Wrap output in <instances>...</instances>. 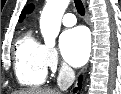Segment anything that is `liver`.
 <instances>
[{
	"label": "liver",
	"mask_w": 121,
	"mask_h": 94,
	"mask_svg": "<svg viewBox=\"0 0 121 94\" xmlns=\"http://www.w3.org/2000/svg\"><path fill=\"white\" fill-rule=\"evenodd\" d=\"M17 94H59L57 91L49 88H32L28 90L19 91Z\"/></svg>",
	"instance_id": "liver-1"
}]
</instances>
